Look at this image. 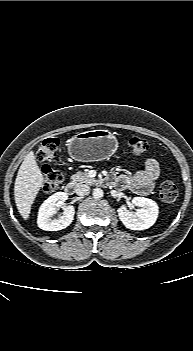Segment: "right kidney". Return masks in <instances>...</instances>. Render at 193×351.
<instances>
[{"label": "right kidney", "instance_id": "obj_1", "mask_svg": "<svg viewBox=\"0 0 193 351\" xmlns=\"http://www.w3.org/2000/svg\"><path fill=\"white\" fill-rule=\"evenodd\" d=\"M68 199L64 192H57L46 199L39 208L37 224L38 227L46 231H58L68 227L74 218V206L64 208L63 214L58 219H52L58 207Z\"/></svg>", "mask_w": 193, "mask_h": 351}]
</instances>
